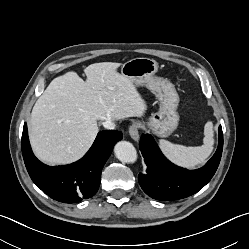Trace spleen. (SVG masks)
<instances>
[{
    "mask_svg": "<svg viewBox=\"0 0 249 249\" xmlns=\"http://www.w3.org/2000/svg\"><path fill=\"white\" fill-rule=\"evenodd\" d=\"M203 145L186 147L173 144L167 140H159L158 144L164 155L174 164L193 169L203 163L211 154L214 145L213 123L208 121L204 126Z\"/></svg>",
    "mask_w": 249,
    "mask_h": 249,
    "instance_id": "spleen-1",
    "label": "spleen"
}]
</instances>
